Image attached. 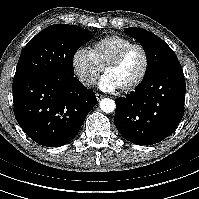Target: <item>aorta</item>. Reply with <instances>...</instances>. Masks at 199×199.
<instances>
[{"mask_svg":"<svg viewBox=\"0 0 199 199\" xmlns=\"http://www.w3.org/2000/svg\"><path fill=\"white\" fill-rule=\"evenodd\" d=\"M100 108L105 113H111L115 110V102L110 98H104L100 101Z\"/></svg>","mask_w":199,"mask_h":199,"instance_id":"aorta-1","label":"aorta"}]
</instances>
